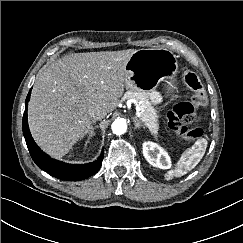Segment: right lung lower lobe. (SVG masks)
I'll return each mask as SVG.
<instances>
[{"instance_id":"98d812e1","label":"right lung lower lobe","mask_w":243,"mask_h":243,"mask_svg":"<svg viewBox=\"0 0 243 243\" xmlns=\"http://www.w3.org/2000/svg\"><path fill=\"white\" fill-rule=\"evenodd\" d=\"M31 92L28 93L25 104V112L23 115V134L26 140L27 147L33 161L39 168L48 174L63 180H82L95 174L102 165L104 150L100 157L89 164H67L61 161L52 159L45 154L34 142L28 127L27 121V107Z\"/></svg>"}]
</instances>
